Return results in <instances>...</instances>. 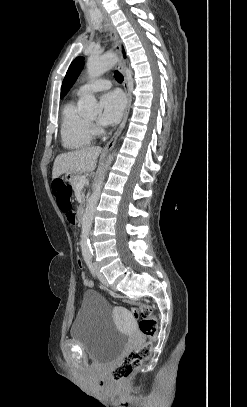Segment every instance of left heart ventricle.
Returning a JSON list of instances; mask_svg holds the SVG:
<instances>
[{
    "instance_id": "obj_1",
    "label": "left heart ventricle",
    "mask_w": 247,
    "mask_h": 407,
    "mask_svg": "<svg viewBox=\"0 0 247 407\" xmlns=\"http://www.w3.org/2000/svg\"><path fill=\"white\" fill-rule=\"evenodd\" d=\"M88 119L95 122L97 121L98 116L97 115L89 116Z\"/></svg>"
}]
</instances>
